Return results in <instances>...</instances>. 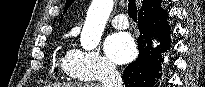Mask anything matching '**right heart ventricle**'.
Returning <instances> with one entry per match:
<instances>
[{"label":"right heart ventricle","instance_id":"right-heart-ventricle-1","mask_svg":"<svg viewBox=\"0 0 205 87\" xmlns=\"http://www.w3.org/2000/svg\"><path fill=\"white\" fill-rule=\"evenodd\" d=\"M72 52H73V50H68V51L64 52L59 58V61H58L59 65L61 66L63 73L69 79L77 80V81L86 80L83 77L77 75L76 72L74 71V69L72 67V63H71Z\"/></svg>","mask_w":205,"mask_h":87}]
</instances>
